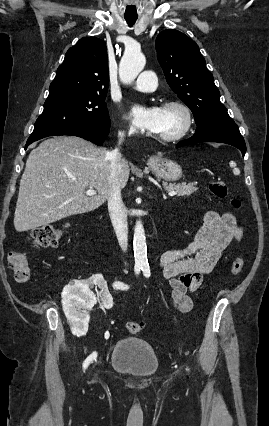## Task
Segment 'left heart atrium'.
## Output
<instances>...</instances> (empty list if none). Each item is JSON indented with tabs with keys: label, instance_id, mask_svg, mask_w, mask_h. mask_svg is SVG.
<instances>
[{
	"label": "left heart atrium",
	"instance_id": "39dd6f15",
	"mask_svg": "<svg viewBox=\"0 0 269 426\" xmlns=\"http://www.w3.org/2000/svg\"><path fill=\"white\" fill-rule=\"evenodd\" d=\"M162 109L159 106L133 105L129 110V118L140 130L153 132L158 127Z\"/></svg>",
	"mask_w": 269,
	"mask_h": 426
}]
</instances>
